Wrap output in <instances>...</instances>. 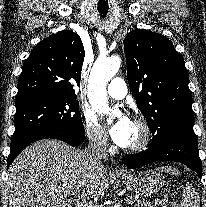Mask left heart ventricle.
I'll use <instances>...</instances> for the list:
<instances>
[{
	"label": "left heart ventricle",
	"mask_w": 206,
	"mask_h": 207,
	"mask_svg": "<svg viewBox=\"0 0 206 207\" xmlns=\"http://www.w3.org/2000/svg\"><path fill=\"white\" fill-rule=\"evenodd\" d=\"M140 138H141V130H140L139 126L133 122L131 140H130L129 145L127 147L136 144L140 140Z\"/></svg>",
	"instance_id": "obj_1"
}]
</instances>
